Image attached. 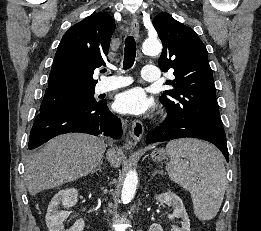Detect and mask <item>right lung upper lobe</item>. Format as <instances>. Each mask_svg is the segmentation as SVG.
<instances>
[{
    "instance_id": "cb5924a9",
    "label": "right lung upper lobe",
    "mask_w": 261,
    "mask_h": 231,
    "mask_svg": "<svg viewBox=\"0 0 261 231\" xmlns=\"http://www.w3.org/2000/svg\"><path fill=\"white\" fill-rule=\"evenodd\" d=\"M114 30V20L105 12L73 25L58 46L46 90L94 88L92 75L105 64Z\"/></svg>"
}]
</instances>
